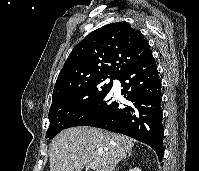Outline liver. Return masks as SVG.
<instances>
[{
  "mask_svg": "<svg viewBox=\"0 0 199 171\" xmlns=\"http://www.w3.org/2000/svg\"><path fill=\"white\" fill-rule=\"evenodd\" d=\"M135 140L118 133L81 126L63 130L50 145V171H82L94 164L96 171H114Z\"/></svg>",
  "mask_w": 199,
  "mask_h": 171,
  "instance_id": "6515ba94",
  "label": "liver"
}]
</instances>
